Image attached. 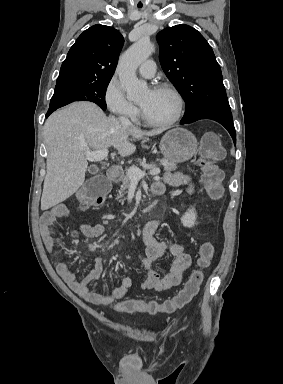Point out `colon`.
<instances>
[{"mask_svg": "<svg viewBox=\"0 0 283 384\" xmlns=\"http://www.w3.org/2000/svg\"><path fill=\"white\" fill-rule=\"evenodd\" d=\"M223 154L224 150L218 135L212 132L205 134L201 143V180L209 196L215 200L219 199L223 193V174L216 166V162L222 158ZM109 188L110 184L104 177L91 178L77 194L79 207L86 209L101 205ZM213 254L214 248L211 243L206 242L200 246L197 260L199 268L192 272L183 289L172 299L163 303L126 299L117 303L114 309L123 313L147 312L155 314L157 312L172 313L184 307L198 294L203 281L202 269L209 266Z\"/></svg>", "mask_w": 283, "mask_h": 384, "instance_id": "5ec220e1", "label": "colon"}]
</instances>
